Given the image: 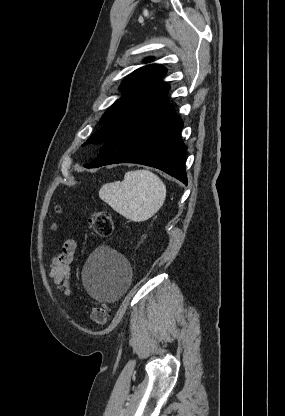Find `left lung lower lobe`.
Listing matches in <instances>:
<instances>
[{
  "mask_svg": "<svg viewBox=\"0 0 285 416\" xmlns=\"http://www.w3.org/2000/svg\"><path fill=\"white\" fill-rule=\"evenodd\" d=\"M182 125L173 106L167 104L122 127L103 144L97 158L84 167L138 163L163 170L186 184L187 147L180 134Z\"/></svg>",
  "mask_w": 285,
  "mask_h": 416,
  "instance_id": "0a47b994",
  "label": "left lung lower lobe"
}]
</instances>
